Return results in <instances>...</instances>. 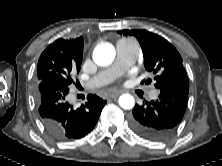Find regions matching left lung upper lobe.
Here are the masks:
<instances>
[{
    "mask_svg": "<svg viewBox=\"0 0 222 166\" xmlns=\"http://www.w3.org/2000/svg\"><path fill=\"white\" fill-rule=\"evenodd\" d=\"M123 35L135 36L142 48L145 68L157 74L155 87L177 84L189 87L183 60L176 48L161 36L146 30H123Z\"/></svg>",
    "mask_w": 222,
    "mask_h": 166,
    "instance_id": "obj_1",
    "label": "left lung upper lobe"
}]
</instances>
